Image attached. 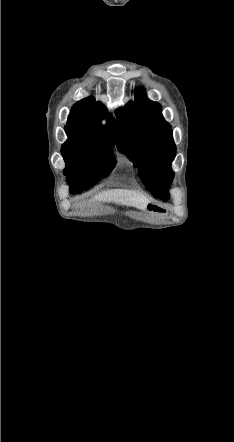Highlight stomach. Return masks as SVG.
Masks as SVG:
<instances>
[{
    "label": "stomach",
    "mask_w": 234,
    "mask_h": 442,
    "mask_svg": "<svg viewBox=\"0 0 234 442\" xmlns=\"http://www.w3.org/2000/svg\"><path fill=\"white\" fill-rule=\"evenodd\" d=\"M146 209L149 210V211H155V212H158V213H162V209L161 208H159L158 206H156L154 204H151V203L146 205Z\"/></svg>",
    "instance_id": "stomach-1"
}]
</instances>
